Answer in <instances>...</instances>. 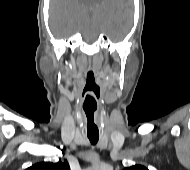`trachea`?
<instances>
[{"label":"trachea","mask_w":190,"mask_h":170,"mask_svg":"<svg viewBox=\"0 0 190 170\" xmlns=\"http://www.w3.org/2000/svg\"><path fill=\"white\" fill-rule=\"evenodd\" d=\"M86 114H87V112H86ZM88 138H89L91 144H93V145H95L99 140V136L88 135Z\"/></svg>","instance_id":"1"}]
</instances>
